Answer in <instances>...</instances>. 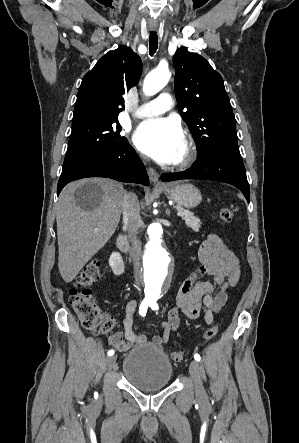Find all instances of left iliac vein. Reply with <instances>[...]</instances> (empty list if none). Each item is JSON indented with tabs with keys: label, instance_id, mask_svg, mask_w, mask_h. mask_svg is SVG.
I'll list each match as a JSON object with an SVG mask.
<instances>
[{
	"label": "left iliac vein",
	"instance_id": "obj_1",
	"mask_svg": "<svg viewBox=\"0 0 299 443\" xmlns=\"http://www.w3.org/2000/svg\"><path fill=\"white\" fill-rule=\"evenodd\" d=\"M189 372L194 380L195 391L199 395H204V387L201 379V370L199 363L196 360H192L189 365Z\"/></svg>",
	"mask_w": 299,
	"mask_h": 443
}]
</instances>
